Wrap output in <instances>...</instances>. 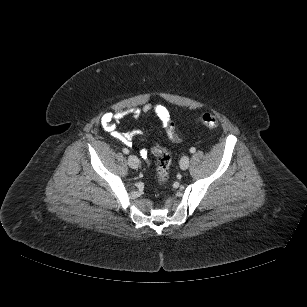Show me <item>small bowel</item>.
Listing matches in <instances>:
<instances>
[{
	"mask_svg": "<svg viewBox=\"0 0 307 307\" xmlns=\"http://www.w3.org/2000/svg\"><path fill=\"white\" fill-rule=\"evenodd\" d=\"M152 112H154L159 118V120L166 126V123L170 120L168 110L164 106H161V105H146L143 108V113L146 115ZM140 114H141V111L138 109H135L133 111L134 118H138ZM123 116H124L123 112H118V113L106 112L101 117V126L112 137L130 146L131 145L130 135L127 133H123L118 129V124L123 118ZM140 156L142 158H147L148 151L146 149H142L140 151Z\"/></svg>",
	"mask_w": 307,
	"mask_h": 307,
	"instance_id": "obj_1",
	"label": "small bowel"
}]
</instances>
